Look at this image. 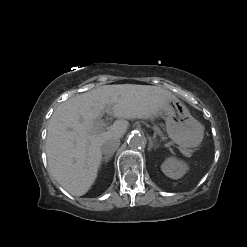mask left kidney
<instances>
[{
    "instance_id": "1",
    "label": "left kidney",
    "mask_w": 247,
    "mask_h": 247,
    "mask_svg": "<svg viewBox=\"0 0 247 247\" xmlns=\"http://www.w3.org/2000/svg\"><path fill=\"white\" fill-rule=\"evenodd\" d=\"M161 170L167 177L177 180L185 175L188 165L182 160L170 157L163 162Z\"/></svg>"
}]
</instances>
